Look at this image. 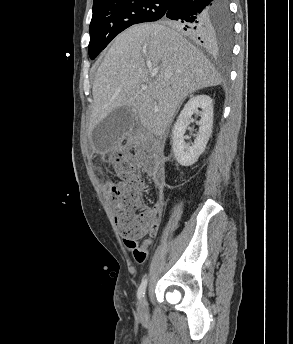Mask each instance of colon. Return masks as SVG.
<instances>
[{
  "mask_svg": "<svg viewBox=\"0 0 293 344\" xmlns=\"http://www.w3.org/2000/svg\"><path fill=\"white\" fill-rule=\"evenodd\" d=\"M107 162L122 180L112 187L110 195L121 234L129 239L154 237L159 214L148 208L140 197L144 181L136 164L129 155L117 151L107 156Z\"/></svg>",
  "mask_w": 293,
  "mask_h": 344,
  "instance_id": "obj_1",
  "label": "colon"
}]
</instances>
